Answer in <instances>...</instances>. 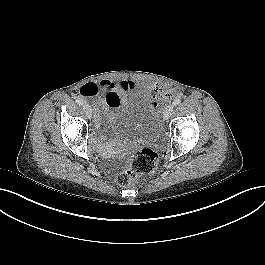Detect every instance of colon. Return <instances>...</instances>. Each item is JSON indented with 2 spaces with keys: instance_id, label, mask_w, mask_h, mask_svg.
I'll return each instance as SVG.
<instances>
[{
  "instance_id": "5ec220e1",
  "label": "colon",
  "mask_w": 265,
  "mask_h": 265,
  "mask_svg": "<svg viewBox=\"0 0 265 265\" xmlns=\"http://www.w3.org/2000/svg\"><path fill=\"white\" fill-rule=\"evenodd\" d=\"M111 98L116 97L112 95ZM158 158V153L150 147L136 151L128 159L125 168L118 174L117 183L120 186L135 184L141 176L154 171Z\"/></svg>"
}]
</instances>
